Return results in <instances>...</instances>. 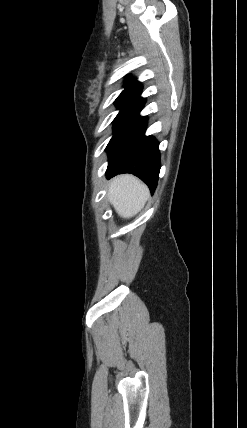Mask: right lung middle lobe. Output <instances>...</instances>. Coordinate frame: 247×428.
Segmentation results:
<instances>
[{"mask_svg":"<svg viewBox=\"0 0 247 428\" xmlns=\"http://www.w3.org/2000/svg\"><path fill=\"white\" fill-rule=\"evenodd\" d=\"M138 94L134 93H124L122 92L119 97L115 100V104L118 106V109H120L119 114L117 117L133 102L138 98ZM116 117V118H117Z\"/></svg>","mask_w":247,"mask_h":428,"instance_id":"right-lung-middle-lobe-1","label":"right lung middle lobe"}]
</instances>
